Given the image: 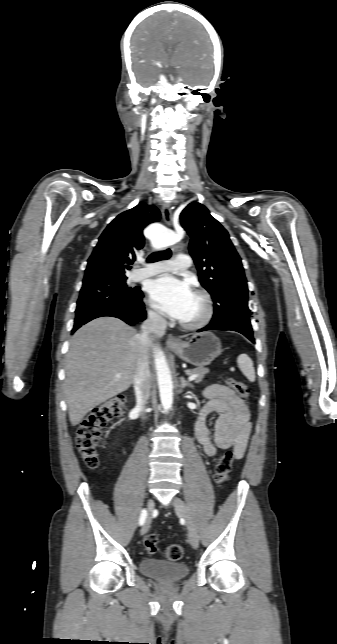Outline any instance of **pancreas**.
Returning <instances> with one entry per match:
<instances>
[{"label":"pancreas","mask_w":337,"mask_h":644,"mask_svg":"<svg viewBox=\"0 0 337 644\" xmlns=\"http://www.w3.org/2000/svg\"><path fill=\"white\" fill-rule=\"evenodd\" d=\"M208 372H209V370H208L207 368H195V369H188V370H186V371H185V373H186L187 375H189V376L194 375V374L199 375V376L195 379V383H199V382H201V381H202V379H203V377H204V375H205L206 373H208Z\"/></svg>","instance_id":"1"}]
</instances>
